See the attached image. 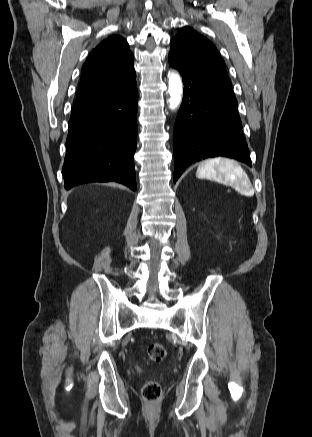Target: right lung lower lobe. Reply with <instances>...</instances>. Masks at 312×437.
<instances>
[{"label":"right lung lower lobe","instance_id":"obj_1","mask_svg":"<svg viewBox=\"0 0 312 437\" xmlns=\"http://www.w3.org/2000/svg\"><path fill=\"white\" fill-rule=\"evenodd\" d=\"M136 74L116 91L72 109L62 168L67 190L116 181L136 190Z\"/></svg>","mask_w":312,"mask_h":437}]
</instances>
